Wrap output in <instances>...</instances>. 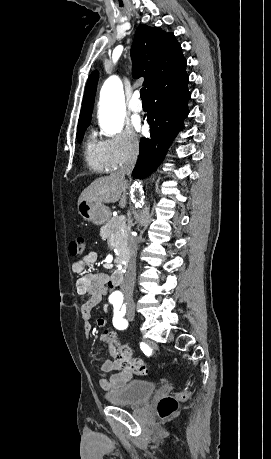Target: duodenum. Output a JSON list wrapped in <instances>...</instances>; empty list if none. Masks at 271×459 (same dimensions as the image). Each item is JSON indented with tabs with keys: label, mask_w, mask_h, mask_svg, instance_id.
Instances as JSON below:
<instances>
[{
	"label": "duodenum",
	"mask_w": 271,
	"mask_h": 459,
	"mask_svg": "<svg viewBox=\"0 0 271 459\" xmlns=\"http://www.w3.org/2000/svg\"><path fill=\"white\" fill-rule=\"evenodd\" d=\"M123 279H124V273L122 269L120 268L114 270V272L112 273L110 277L111 283L116 286L120 285L123 282Z\"/></svg>",
	"instance_id": "410a0bca"
}]
</instances>
